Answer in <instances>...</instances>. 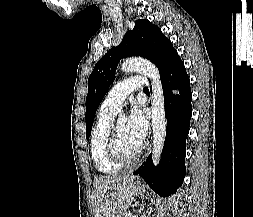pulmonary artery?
I'll return each mask as SVG.
<instances>
[{
  "instance_id": "e3ab8cb5",
  "label": "pulmonary artery",
  "mask_w": 253,
  "mask_h": 217,
  "mask_svg": "<svg viewBox=\"0 0 253 217\" xmlns=\"http://www.w3.org/2000/svg\"><path fill=\"white\" fill-rule=\"evenodd\" d=\"M147 84L143 76H132L117 83L106 95L101 109L117 113L132 92L145 88Z\"/></svg>"
}]
</instances>
